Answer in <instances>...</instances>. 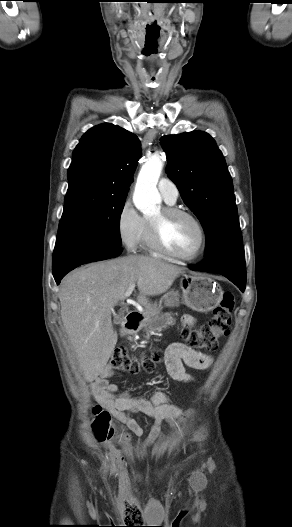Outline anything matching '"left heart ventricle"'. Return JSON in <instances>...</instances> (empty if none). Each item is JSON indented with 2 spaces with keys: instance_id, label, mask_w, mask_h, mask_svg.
I'll list each match as a JSON object with an SVG mask.
<instances>
[{
  "instance_id": "b2bd125f",
  "label": "left heart ventricle",
  "mask_w": 292,
  "mask_h": 527,
  "mask_svg": "<svg viewBox=\"0 0 292 527\" xmlns=\"http://www.w3.org/2000/svg\"><path fill=\"white\" fill-rule=\"evenodd\" d=\"M161 209L150 216L159 219ZM163 239L169 249L180 255H190L198 248L200 233L196 224L186 216H175L163 224Z\"/></svg>"
}]
</instances>
